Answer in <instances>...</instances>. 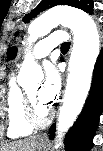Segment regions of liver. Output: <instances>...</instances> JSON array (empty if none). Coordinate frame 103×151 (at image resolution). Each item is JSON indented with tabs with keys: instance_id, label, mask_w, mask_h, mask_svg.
I'll return each instance as SVG.
<instances>
[{
	"instance_id": "liver-1",
	"label": "liver",
	"mask_w": 103,
	"mask_h": 151,
	"mask_svg": "<svg viewBox=\"0 0 103 151\" xmlns=\"http://www.w3.org/2000/svg\"><path fill=\"white\" fill-rule=\"evenodd\" d=\"M37 137L32 136L6 144L0 148L1 151H36Z\"/></svg>"
}]
</instances>
